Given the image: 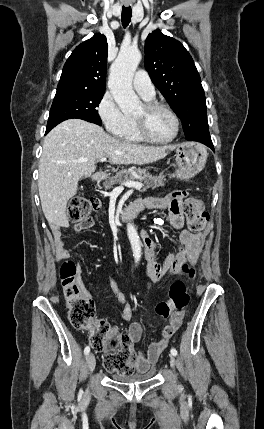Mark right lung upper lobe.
<instances>
[{"mask_svg": "<svg viewBox=\"0 0 264 429\" xmlns=\"http://www.w3.org/2000/svg\"><path fill=\"white\" fill-rule=\"evenodd\" d=\"M106 63L107 40L98 33L74 49L63 67L57 91L73 89L104 92Z\"/></svg>", "mask_w": 264, "mask_h": 429, "instance_id": "obj_1", "label": "right lung upper lobe"}]
</instances>
